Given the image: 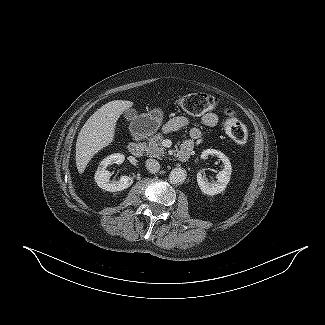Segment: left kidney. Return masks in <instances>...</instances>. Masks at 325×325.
<instances>
[{
    "instance_id": "5707ae66",
    "label": "left kidney",
    "mask_w": 325,
    "mask_h": 325,
    "mask_svg": "<svg viewBox=\"0 0 325 325\" xmlns=\"http://www.w3.org/2000/svg\"><path fill=\"white\" fill-rule=\"evenodd\" d=\"M209 155L217 156L222 161L224 169L217 174V181L213 183L208 182L207 179L202 176L201 172H198L197 183L203 194L214 196L222 193L225 190L228 182L230 181L232 167L230 160L222 152L214 149H207L202 152L201 158L207 159Z\"/></svg>"
}]
</instances>
